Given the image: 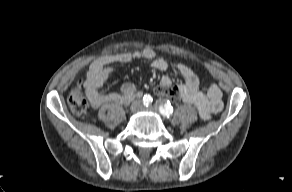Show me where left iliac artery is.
<instances>
[{
  "label": "left iliac artery",
  "instance_id": "obj_1",
  "mask_svg": "<svg viewBox=\"0 0 292 192\" xmlns=\"http://www.w3.org/2000/svg\"><path fill=\"white\" fill-rule=\"evenodd\" d=\"M159 111L163 116L169 117L173 113V107L169 101L159 106Z\"/></svg>",
  "mask_w": 292,
  "mask_h": 192
}]
</instances>
